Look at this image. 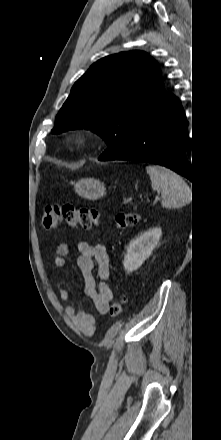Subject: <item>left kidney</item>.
Masks as SVG:
<instances>
[{"mask_svg": "<svg viewBox=\"0 0 221 440\" xmlns=\"http://www.w3.org/2000/svg\"><path fill=\"white\" fill-rule=\"evenodd\" d=\"M161 235V228H152L130 241L123 261L127 273L137 270L150 257Z\"/></svg>", "mask_w": 221, "mask_h": 440, "instance_id": "5707ae66", "label": "left kidney"}]
</instances>
